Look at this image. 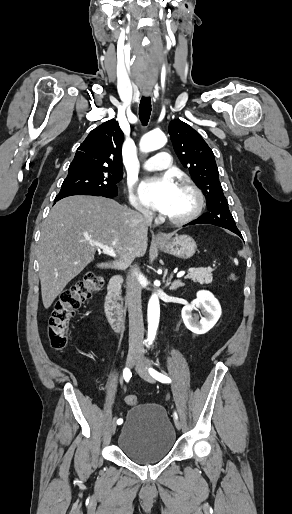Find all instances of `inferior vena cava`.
Wrapping results in <instances>:
<instances>
[{
    "label": "inferior vena cava",
    "instance_id": "1",
    "mask_svg": "<svg viewBox=\"0 0 292 514\" xmlns=\"http://www.w3.org/2000/svg\"><path fill=\"white\" fill-rule=\"evenodd\" d=\"M144 224H152L151 212L142 210ZM140 270L138 266H131L127 276L126 300L129 314V352L144 354L143 336L144 324L141 310V286L138 280Z\"/></svg>",
    "mask_w": 292,
    "mask_h": 514
}]
</instances>
